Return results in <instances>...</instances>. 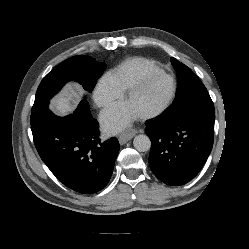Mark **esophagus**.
<instances>
[{
  "label": "esophagus",
  "mask_w": 249,
  "mask_h": 249,
  "mask_svg": "<svg viewBox=\"0 0 249 249\" xmlns=\"http://www.w3.org/2000/svg\"><path fill=\"white\" fill-rule=\"evenodd\" d=\"M137 134V130L132 129L119 136V142L121 145L125 144L127 141L131 140Z\"/></svg>",
  "instance_id": "1"
}]
</instances>
